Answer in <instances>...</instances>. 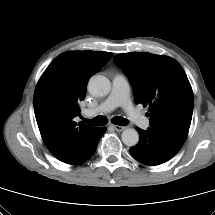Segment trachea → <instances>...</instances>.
<instances>
[{
  "mask_svg": "<svg viewBox=\"0 0 215 215\" xmlns=\"http://www.w3.org/2000/svg\"><path fill=\"white\" fill-rule=\"evenodd\" d=\"M85 123H87L88 125L91 126H103L107 124V119L103 116H97L93 119H84ZM112 123L116 124V125H120V126H124L128 123L127 119L123 118V117H114L112 119Z\"/></svg>",
  "mask_w": 215,
  "mask_h": 215,
  "instance_id": "3493384b",
  "label": "trachea"
}]
</instances>
